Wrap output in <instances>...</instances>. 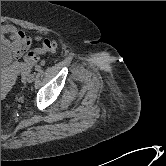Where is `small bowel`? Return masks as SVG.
<instances>
[{
    "label": "small bowel",
    "instance_id": "1",
    "mask_svg": "<svg viewBox=\"0 0 166 166\" xmlns=\"http://www.w3.org/2000/svg\"><path fill=\"white\" fill-rule=\"evenodd\" d=\"M33 40L38 41L40 37L32 39L13 25L1 26V42L10 47L16 58L21 57L26 52Z\"/></svg>",
    "mask_w": 166,
    "mask_h": 166
}]
</instances>
